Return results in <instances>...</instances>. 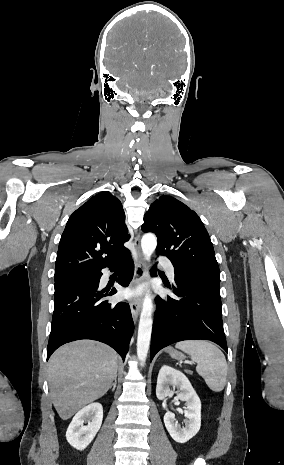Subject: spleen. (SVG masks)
Wrapping results in <instances>:
<instances>
[{"label": "spleen", "mask_w": 284, "mask_h": 465, "mask_svg": "<svg viewBox=\"0 0 284 465\" xmlns=\"http://www.w3.org/2000/svg\"><path fill=\"white\" fill-rule=\"evenodd\" d=\"M176 349H181L190 355L192 361L197 363L196 371L203 377L206 385L211 391L220 393L226 385L227 363L226 359L215 345L208 341H181L177 343Z\"/></svg>", "instance_id": "obj_1"}]
</instances>
